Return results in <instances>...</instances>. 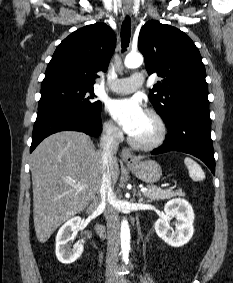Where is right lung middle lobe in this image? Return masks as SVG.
I'll return each mask as SVG.
<instances>
[{"instance_id":"obj_1","label":"right lung middle lobe","mask_w":233,"mask_h":283,"mask_svg":"<svg viewBox=\"0 0 233 283\" xmlns=\"http://www.w3.org/2000/svg\"><path fill=\"white\" fill-rule=\"evenodd\" d=\"M94 89L66 81L42 82L38 110L63 107L95 114L101 111V102L95 100Z\"/></svg>"}]
</instances>
